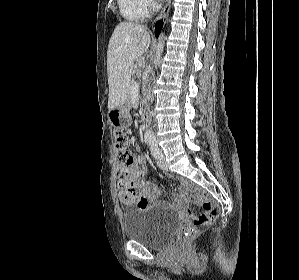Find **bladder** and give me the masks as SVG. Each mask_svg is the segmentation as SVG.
I'll return each instance as SVG.
<instances>
[{"instance_id": "1", "label": "bladder", "mask_w": 299, "mask_h": 280, "mask_svg": "<svg viewBox=\"0 0 299 280\" xmlns=\"http://www.w3.org/2000/svg\"><path fill=\"white\" fill-rule=\"evenodd\" d=\"M177 226L176 215L157 205L126 210L123 215L125 237L154 249L167 246Z\"/></svg>"}]
</instances>
